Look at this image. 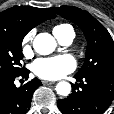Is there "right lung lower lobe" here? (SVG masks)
<instances>
[{
  "label": "right lung lower lobe",
  "instance_id": "obj_1",
  "mask_svg": "<svg viewBox=\"0 0 114 114\" xmlns=\"http://www.w3.org/2000/svg\"><path fill=\"white\" fill-rule=\"evenodd\" d=\"M30 71L11 78L0 79V114H26L30 109L33 92L41 86V81L34 78L21 87L14 84L15 78L28 79Z\"/></svg>",
  "mask_w": 114,
  "mask_h": 114
}]
</instances>
